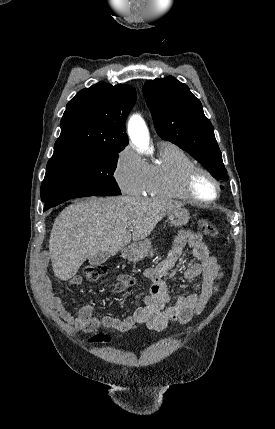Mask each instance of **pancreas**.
Instances as JSON below:
<instances>
[{"instance_id":"cf45deb5","label":"pancreas","mask_w":275,"mask_h":429,"mask_svg":"<svg viewBox=\"0 0 275 429\" xmlns=\"http://www.w3.org/2000/svg\"><path fill=\"white\" fill-rule=\"evenodd\" d=\"M153 254H154V251H153V250H151V251H150V257H152V256H153Z\"/></svg>"}]
</instances>
